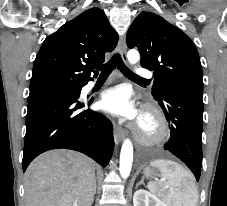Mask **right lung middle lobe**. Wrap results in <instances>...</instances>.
Wrapping results in <instances>:
<instances>
[{"label":"right lung middle lobe","mask_w":227,"mask_h":206,"mask_svg":"<svg viewBox=\"0 0 227 206\" xmlns=\"http://www.w3.org/2000/svg\"><path fill=\"white\" fill-rule=\"evenodd\" d=\"M84 84L62 80H42L30 84L28 102L41 97L80 96Z\"/></svg>","instance_id":"right-lung-middle-lobe-1"}]
</instances>
